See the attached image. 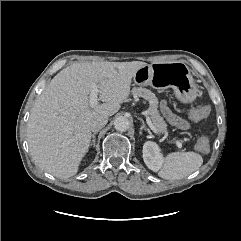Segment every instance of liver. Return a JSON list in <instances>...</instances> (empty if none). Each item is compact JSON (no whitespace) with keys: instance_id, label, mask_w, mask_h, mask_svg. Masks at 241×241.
<instances>
[{"instance_id":"liver-1","label":"liver","mask_w":241,"mask_h":241,"mask_svg":"<svg viewBox=\"0 0 241 241\" xmlns=\"http://www.w3.org/2000/svg\"><path fill=\"white\" fill-rule=\"evenodd\" d=\"M145 62H82L61 70L38 97L27 127L34 163L57 178L78 172L91 142L90 123L112 116L129 97L132 78ZM103 102L89 104L91 85Z\"/></svg>"}]
</instances>
